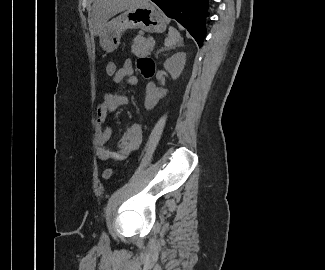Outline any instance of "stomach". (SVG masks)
I'll return each mask as SVG.
<instances>
[{"label": "stomach", "instance_id": "0dacf381", "mask_svg": "<svg viewBox=\"0 0 325 270\" xmlns=\"http://www.w3.org/2000/svg\"><path fill=\"white\" fill-rule=\"evenodd\" d=\"M138 28L161 33L166 29V21L159 9L151 3L129 7L105 24L100 34L101 47L106 52H113L119 46L123 31Z\"/></svg>", "mask_w": 325, "mask_h": 270}]
</instances>
